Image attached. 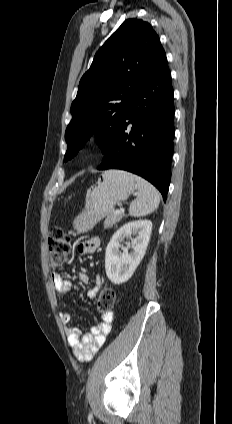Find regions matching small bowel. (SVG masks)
<instances>
[{
    "label": "small bowel",
    "mask_w": 232,
    "mask_h": 424,
    "mask_svg": "<svg viewBox=\"0 0 232 424\" xmlns=\"http://www.w3.org/2000/svg\"><path fill=\"white\" fill-rule=\"evenodd\" d=\"M99 239L91 237L85 239L77 246V251L80 255H86L94 253L99 247ZM81 283L87 284L90 282V276L85 272H79L77 275ZM51 282L59 295H67L71 291L75 290V287L71 281L60 273H53L51 276ZM102 286L100 277L96 276L93 281V285L88 289L87 296L89 298H95L99 293ZM59 318L65 327V333L68 340V344L72 349L75 357L81 362L90 361L98 350L103 346L106 336L111 330L113 323V312H107L102 314V322L93 326L90 333L81 334V332L71 325L72 314L61 309L59 311Z\"/></svg>",
    "instance_id": "small-bowel-1"
}]
</instances>
